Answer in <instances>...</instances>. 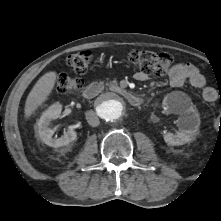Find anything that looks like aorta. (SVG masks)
Segmentation results:
<instances>
[{
  "instance_id": "obj_1",
  "label": "aorta",
  "mask_w": 221,
  "mask_h": 221,
  "mask_svg": "<svg viewBox=\"0 0 221 221\" xmlns=\"http://www.w3.org/2000/svg\"><path fill=\"white\" fill-rule=\"evenodd\" d=\"M96 111L104 122L115 123L125 115L126 102L117 94L107 93L98 100Z\"/></svg>"
}]
</instances>
